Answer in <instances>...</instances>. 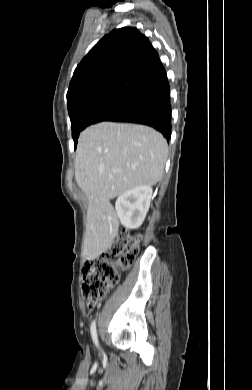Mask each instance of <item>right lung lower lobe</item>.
I'll return each instance as SVG.
<instances>
[{"instance_id": "obj_1", "label": "right lung lower lobe", "mask_w": 252, "mask_h": 390, "mask_svg": "<svg viewBox=\"0 0 252 390\" xmlns=\"http://www.w3.org/2000/svg\"><path fill=\"white\" fill-rule=\"evenodd\" d=\"M106 121L130 122L155 128L169 141L171 137V104L168 79L141 93L125 109Z\"/></svg>"}]
</instances>
